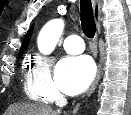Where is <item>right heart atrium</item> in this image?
I'll list each match as a JSON object with an SVG mask.
<instances>
[{
	"mask_svg": "<svg viewBox=\"0 0 131 115\" xmlns=\"http://www.w3.org/2000/svg\"><path fill=\"white\" fill-rule=\"evenodd\" d=\"M24 90L37 101L51 104L61 98L51 75V62L41 54H33L28 59L24 74Z\"/></svg>",
	"mask_w": 131,
	"mask_h": 115,
	"instance_id": "d8ad5b80",
	"label": "right heart atrium"
}]
</instances>
